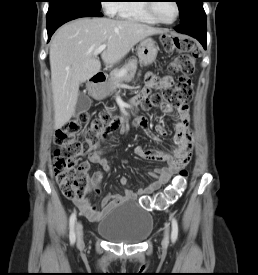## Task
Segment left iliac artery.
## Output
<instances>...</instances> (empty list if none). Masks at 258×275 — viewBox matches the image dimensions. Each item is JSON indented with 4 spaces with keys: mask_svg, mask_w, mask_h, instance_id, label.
Returning <instances> with one entry per match:
<instances>
[{
    "mask_svg": "<svg viewBox=\"0 0 258 275\" xmlns=\"http://www.w3.org/2000/svg\"><path fill=\"white\" fill-rule=\"evenodd\" d=\"M178 237V223L177 220L172 217V232H171V240L174 243Z\"/></svg>",
    "mask_w": 258,
    "mask_h": 275,
    "instance_id": "44dca946",
    "label": "left iliac artery"
}]
</instances>
